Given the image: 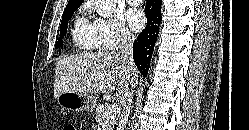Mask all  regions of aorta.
I'll list each match as a JSON object with an SVG mask.
<instances>
[{
    "label": "aorta",
    "instance_id": "1",
    "mask_svg": "<svg viewBox=\"0 0 249 130\" xmlns=\"http://www.w3.org/2000/svg\"><path fill=\"white\" fill-rule=\"evenodd\" d=\"M116 8V0H95L97 13L106 18L111 17Z\"/></svg>",
    "mask_w": 249,
    "mask_h": 130
}]
</instances>
